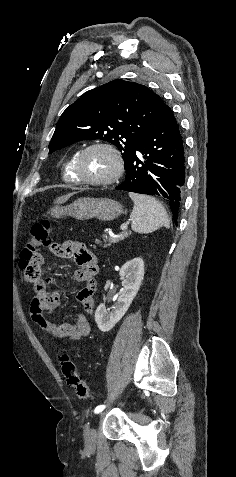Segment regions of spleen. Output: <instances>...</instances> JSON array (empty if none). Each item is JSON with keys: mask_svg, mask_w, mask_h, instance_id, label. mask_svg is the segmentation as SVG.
<instances>
[{"mask_svg": "<svg viewBox=\"0 0 236 477\" xmlns=\"http://www.w3.org/2000/svg\"><path fill=\"white\" fill-rule=\"evenodd\" d=\"M129 196L134 203L130 215L133 231L147 234L161 227L169 228L167 212L159 201L153 197L132 192Z\"/></svg>", "mask_w": 236, "mask_h": 477, "instance_id": "obj_1", "label": "spleen"}]
</instances>
